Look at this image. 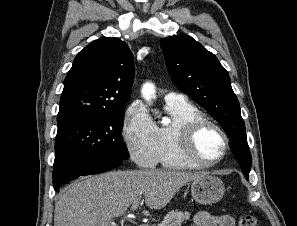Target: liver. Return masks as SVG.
<instances>
[{"mask_svg": "<svg viewBox=\"0 0 297 226\" xmlns=\"http://www.w3.org/2000/svg\"><path fill=\"white\" fill-rule=\"evenodd\" d=\"M206 173L166 170L111 171L81 178L59 195L54 226H115L131 203L144 195L150 209H162L175 193Z\"/></svg>", "mask_w": 297, "mask_h": 226, "instance_id": "1", "label": "liver"}]
</instances>
